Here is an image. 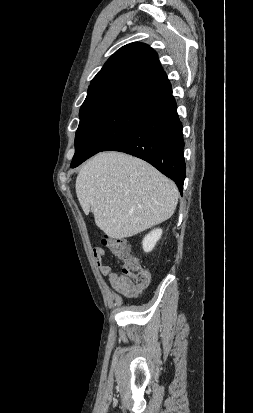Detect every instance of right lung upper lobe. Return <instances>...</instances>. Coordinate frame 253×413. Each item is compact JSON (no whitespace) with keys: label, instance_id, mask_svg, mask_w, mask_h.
<instances>
[{"label":"right lung upper lobe","instance_id":"right-lung-upper-lobe-1","mask_svg":"<svg viewBox=\"0 0 253 413\" xmlns=\"http://www.w3.org/2000/svg\"><path fill=\"white\" fill-rule=\"evenodd\" d=\"M175 102L171 84L157 53L140 42L114 53L91 81L80 108V120L105 112L149 116Z\"/></svg>","mask_w":253,"mask_h":413}]
</instances>
